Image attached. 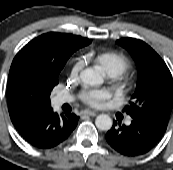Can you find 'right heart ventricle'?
Here are the masks:
<instances>
[{"label": "right heart ventricle", "mask_w": 173, "mask_h": 170, "mask_svg": "<svg viewBox=\"0 0 173 170\" xmlns=\"http://www.w3.org/2000/svg\"><path fill=\"white\" fill-rule=\"evenodd\" d=\"M99 62L105 67L110 66L115 74L121 73L125 67L124 62L121 59L112 58L110 56H102L99 58Z\"/></svg>", "instance_id": "1"}]
</instances>
